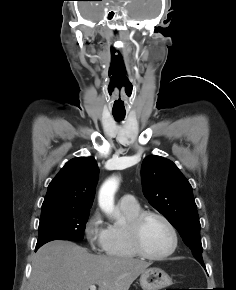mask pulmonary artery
<instances>
[{"label":"pulmonary artery","instance_id":"obj_1","mask_svg":"<svg viewBox=\"0 0 236 290\" xmlns=\"http://www.w3.org/2000/svg\"><path fill=\"white\" fill-rule=\"evenodd\" d=\"M120 204L134 206L137 205V201L132 194H125L121 197Z\"/></svg>","mask_w":236,"mask_h":290}]
</instances>
